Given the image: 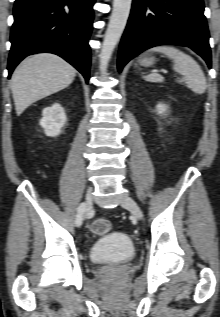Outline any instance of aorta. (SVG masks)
<instances>
[{"label": "aorta", "mask_w": 220, "mask_h": 317, "mask_svg": "<svg viewBox=\"0 0 220 317\" xmlns=\"http://www.w3.org/2000/svg\"><path fill=\"white\" fill-rule=\"evenodd\" d=\"M132 0H113V11L99 54L100 72L106 74L108 62L127 24Z\"/></svg>", "instance_id": "obj_1"}]
</instances>
